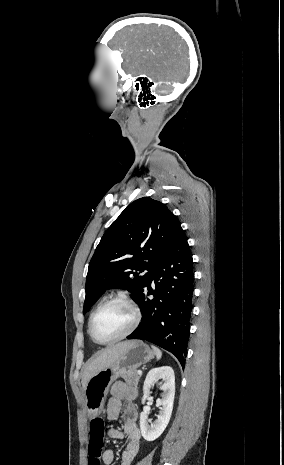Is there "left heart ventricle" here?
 <instances>
[{
    "instance_id": "1",
    "label": "left heart ventricle",
    "mask_w": 284,
    "mask_h": 465,
    "mask_svg": "<svg viewBox=\"0 0 284 465\" xmlns=\"http://www.w3.org/2000/svg\"><path fill=\"white\" fill-rule=\"evenodd\" d=\"M133 322L131 309L121 303L103 307L93 322V335L99 341L113 340L123 335Z\"/></svg>"
}]
</instances>
